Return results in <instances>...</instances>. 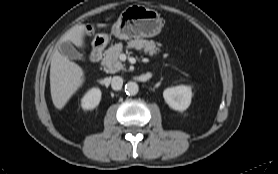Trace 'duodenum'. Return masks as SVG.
I'll list each match as a JSON object with an SVG mask.
<instances>
[{"mask_svg":"<svg viewBox=\"0 0 278 174\" xmlns=\"http://www.w3.org/2000/svg\"><path fill=\"white\" fill-rule=\"evenodd\" d=\"M106 42L103 38L97 37L93 42V47L90 53V60L92 62L100 61Z\"/></svg>","mask_w":278,"mask_h":174,"instance_id":"410a0bca","label":"duodenum"}]
</instances>
